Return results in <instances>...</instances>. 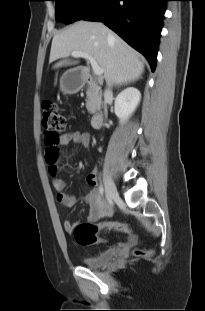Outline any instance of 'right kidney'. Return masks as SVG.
<instances>
[{
  "label": "right kidney",
  "instance_id": "obj_1",
  "mask_svg": "<svg viewBox=\"0 0 205 311\" xmlns=\"http://www.w3.org/2000/svg\"><path fill=\"white\" fill-rule=\"evenodd\" d=\"M140 100V91L134 87H128L118 94L115 99V114L121 123L129 119Z\"/></svg>",
  "mask_w": 205,
  "mask_h": 311
}]
</instances>
